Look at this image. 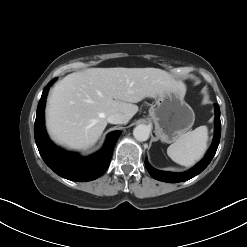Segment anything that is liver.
Segmentation results:
<instances>
[{
    "label": "liver",
    "mask_w": 247,
    "mask_h": 247,
    "mask_svg": "<svg viewBox=\"0 0 247 247\" xmlns=\"http://www.w3.org/2000/svg\"><path fill=\"white\" fill-rule=\"evenodd\" d=\"M183 86L157 68H89L67 75L52 89L46 125L51 138L70 149L93 146L112 113L128 121L137 113L133 104L146 97Z\"/></svg>",
    "instance_id": "liver-1"
}]
</instances>
